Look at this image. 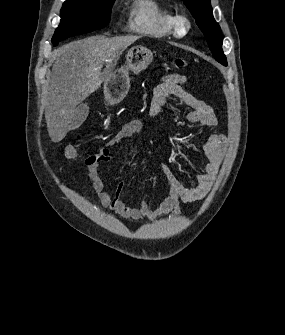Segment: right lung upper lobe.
<instances>
[{"mask_svg": "<svg viewBox=\"0 0 285 335\" xmlns=\"http://www.w3.org/2000/svg\"><path fill=\"white\" fill-rule=\"evenodd\" d=\"M106 1H114V0H106Z\"/></svg>", "mask_w": 285, "mask_h": 335, "instance_id": "right-lung-upper-lobe-1", "label": "right lung upper lobe"}]
</instances>
